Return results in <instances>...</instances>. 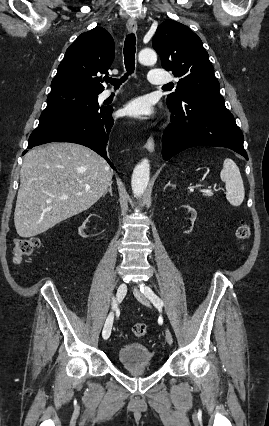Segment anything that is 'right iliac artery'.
Returning a JSON list of instances; mask_svg holds the SVG:
<instances>
[{
    "label": "right iliac artery",
    "mask_w": 269,
    "mask_h": 426,
    "mask_svg": "<svg viewBox=\"0 0 269 426\" xmlns=\"http://www.w3.org/2000/svg\"><path fill=\"white\" fill-rule=\"evenodd\" d=\"M114 308H117V305H116V304H114Z\"/></svg>",
    "instance_id": "1"
}]
</instances>
